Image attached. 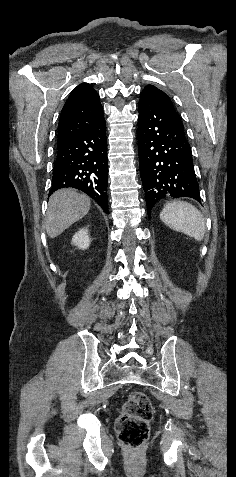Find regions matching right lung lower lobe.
<instances>
[{
	"mask_svg": "<svg viewBox=\"0 0 236 477\" xmlns=\"http://www.w3.org/2000/svg\"><path fill=\"white\" fill-rule=\"evenodd\" d=\"M107 139L104 117L80 136L57 149L49 196L61 188H76L108 213Z\"/></svg>",
	"mask_w": 236,
	"mask_h": 477,
	"instance_id": "1",
	"label": "right lung lower lobe"
}]
</instances>
